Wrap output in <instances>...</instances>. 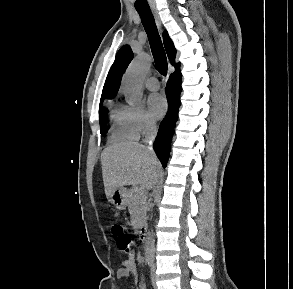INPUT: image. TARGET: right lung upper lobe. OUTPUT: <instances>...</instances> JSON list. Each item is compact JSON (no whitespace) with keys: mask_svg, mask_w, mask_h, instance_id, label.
Instances as JSON below:
<instances>
[{"mask_svg":"<svg viewBox=\"0 0 293 289\" xmlns=\"http://www.w3.org/2000/svg\"><path fill=\"white\" fill-rule=\"evenodd\" d=\"M164 39V46L168 55L170 62L175 65V73L171 75H181L179 63L175 64V56H176V49L171 41L167 31L163 33ZM133 58V53L131 48L128 45L122 46V48L118 51L115 61L108 73L102 96L101 101L104 98H114L118 92L120 87V82L122 78V74L124 70L127 68L128 64L131 62Z\"/></svg>","mask_w":293,"mask_h":289,"instance_id":"cb5924a9","label":"right lung upper lobe"}]
</instances>
